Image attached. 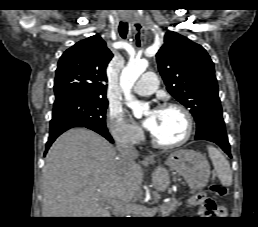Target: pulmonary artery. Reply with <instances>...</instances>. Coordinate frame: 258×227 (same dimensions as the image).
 <instances>
[{
    "instance_id": "pulmonary-artery-1",
    "label": "pulmonary artery",
    "mask_w": 258,
    "mask_h": 227,
    "mask_svg": "<svg viewBox=\"0 0 258 227\" xmlns=\"http://www.w3.org/2000/svg\"><path fill=\"white\" fill-rule=\"evenodd\" d=\"M157 84V77L154 73H145L134 86V92L140 96L151 95L157 89Z\"/></svg>"
}]
</instances>
